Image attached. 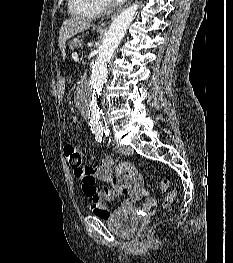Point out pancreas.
<instances>
[{
    "label": "pancreas",
    "instance_id": "1",
    "mask_svg": "<svg viewBox=\"0 0 233 263\" xmlns=\"http://www.w3.org/2000/svg\"><path fill=\"white\" fill-rule=\"evenodd\" d=\"M82 46V42L81 41H72L70 43V49H72V51H74L77 48H80Z\"/></svg>",
    "mask_w": 233,
    "mask_h": 263
}]
</instances>
